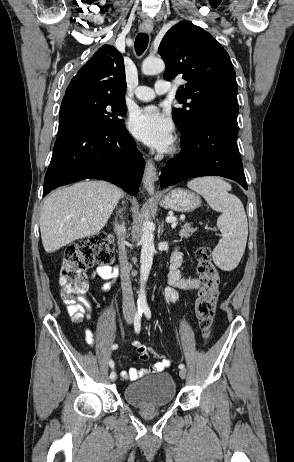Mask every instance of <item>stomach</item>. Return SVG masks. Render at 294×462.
Instances as JSON below:
<instances>
[{
    "label": "stomach",
    "mask_w": 294,
    "mask_h": 462,
    "mask_svg": "<svg viewBox=\"0 0 294 462\" xmlns=\"http://www.w3.org/2000/svg\"><path fill=\"white\" fill-rule=\"evenodd\" d=\"M200 204L201 199L197 194L181 188L170 191L160 201L162 207L178 212H192L198 208Z\"/></svg>",
    "instance_id": "1"
}]
</instances>
